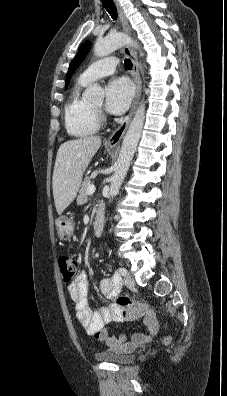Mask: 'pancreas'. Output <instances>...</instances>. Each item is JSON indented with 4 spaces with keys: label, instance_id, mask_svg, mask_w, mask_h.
<instances>
[{
    "label": "pancreas",
    "instance_id": "obj_1",
    "mask_svg": "<svg viewBox=\"0 0 227 396\" xmlns=\"http://www.w3.org/2000/svg\"><path fill=\"white\" fill-rule=\"evenodd\" d=\"M92 185V181L90 177H86L81 185V189L79 191V195L77 198L78 204H84L87 201L88 198V193L87 189L88 187Z\"/></svg>",
    "mask_w": 227,
    "mask_h": 396
}]
</instances>
